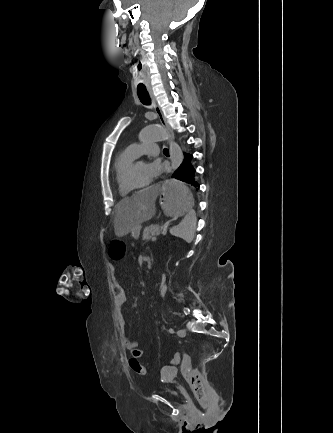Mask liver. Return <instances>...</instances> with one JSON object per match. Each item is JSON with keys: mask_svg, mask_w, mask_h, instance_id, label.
I'll return each mask as SVG.
<instances>
[{"mask_svg": "<svg viewBox=\"0 0 333 433\" xmlns=\"http://www.w3.org/2000/svg\"><path fill=\"white\" fill-rule=\"evenodd\" d=\"M148 189L134 192L133 197L124 198L116 205L114 231L123 237L133 230L141 229V224L153 218L156 212L155 200L159 189L157 183H150Z\"/></svg>", "mask_w": 333, "mask_h": 433, "instance_id": "6515ba94", "label": "liver"}]
</instances>
